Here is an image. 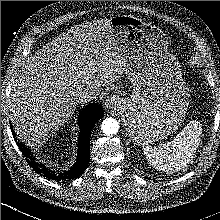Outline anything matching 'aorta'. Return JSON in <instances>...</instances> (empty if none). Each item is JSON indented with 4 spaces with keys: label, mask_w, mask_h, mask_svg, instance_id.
Segmentation results:
<instances>
[{
    "label": "aorta",
    "mask_w": 220,
    "mask_h": 220,
    "mask_svg": "<svg viewBox=\"0 0 220 220\" xmlns=\"http://www.w3.org/2000/svg\"><path fill=\"white\" fill-rule=\"evenodd\" d=\"M101 128L105 135L116 134L119 130V123L113 118H106L103 120Z\"/></svg>",
    "instance_id": "762f6f07"
}]
</instances>
